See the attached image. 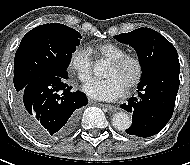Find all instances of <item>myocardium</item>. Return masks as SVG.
I'll use <instances>...</instances> for the list:
<instances>
[{
	"mask_svg": "<svg viewBox=\"0 0 190 165\" xmlns=\"http://www.w3.org/2000/svg\"><path fill=\"white\" fill-rule=\"evenodd\" d=\"M111 65L117 69H123L128 65H133L135 67V76L125 87L127 91L133 90L141 83L144 76V66L139 57L125 55L119 59L111 61Z\"/></svg>",
	"mask_w": 190,
	"mask_h": 165,
	"instance_id": "1",
	"label": "myocardium"
}]
</instances>
